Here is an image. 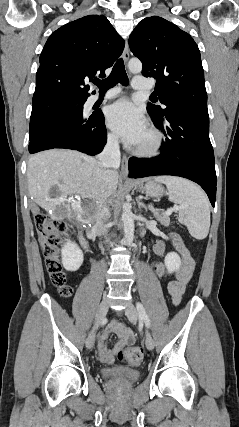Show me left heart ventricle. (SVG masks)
<instances>
[{
    "label": "left heart ventricle",
    "mask_w": 239,
    "mask_h": 427,
    "mask_svg": "<svg viewBox=\"0 0 239 427\" xmlns=\"http://www.w3.org/2000/svg\"><path fill=\"white\" fill-rule=\"evenodd\" d=\"M149 140H150V135H149L148 131L146 130L136 145H144V144L148 143Z\"/></svg>",
    "instance_id": "obj_1"
}]
</instances>
